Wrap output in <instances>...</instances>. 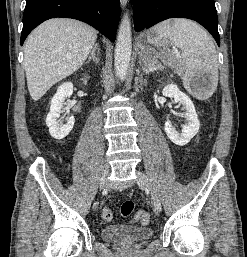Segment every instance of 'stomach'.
Segmentation results:
<instances>
[{
    "label": "stomach",
    "instance_id": "1",
    "mask_svg": "<svg viewBox=\"0 0 247 257\" xmlns=\"http://www.w3.org/2000/svg\"><path fill=\"white\" fill-rule=\"evenodd\" d=\"M154 36L155 34L152 30L147 33L148 39ZM157 45L160 47L159 51L150 46H144L141 49L140 59L144 67L148 68L152 63H155L160 59L167 64L175 66L177 70L183 74L184 67H182L181 62L167 49L166 41L159 39Z\"/></svg>",
    "mask_w": 247,
    "mask_h": 257
}]
</instances>
